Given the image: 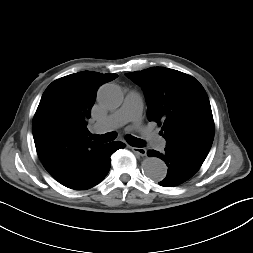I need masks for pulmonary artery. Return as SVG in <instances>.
Returning a JSON list of instances; mask_svg holds the SVG:
<instances>
[{
	"instance_id": "pulmonary-artery-1",
	"label": "pulmonary artery",
	"mask_w": 253,
	"mask_h": 253,
	"mask_svg": "<svg viewBox=\"0 0 253 253\" xmlns=\"http://www.w3.org/2000/svg\"><path fill=\"white\" fill-rule=\"evenodd\" d=\"M142 112V99L137 92L131 91L125 97L123 105L105 119L94 124L93 130L101 132L111 128L119 127L127 122L139 120ZM146 139L150 146L156 150H163L166 141L153 133H147Z\"/></svg>"
}]
</instances>
